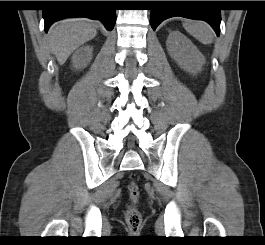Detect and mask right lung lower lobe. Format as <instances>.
<instances>
[{
    "label": "right lung lower lobe",
    "instance_id": "98d812e1",
    "mask_svg": "<svg viewBox=\"0 0 265 245\" xmlns=\"http://www.w3.org/2000/svg\"><path fill=\"white\" fill-rule=\"evenodd\" d=\"M58 7L43 10L45 30L50 25L66 17H88L100 20L107 30L114 28L116 13L112 1H54Z\"/></svg>",
    "mask_w": 265,
    "mask_h": 245
}]
</instances>
